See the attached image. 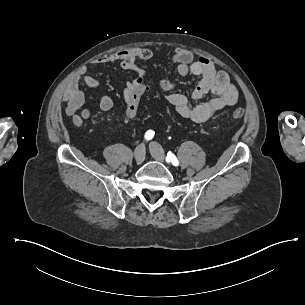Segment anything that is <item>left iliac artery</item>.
Instances as JSON below:
<instances>
[{
    "label": "left iliac artery",
    "mask_w": 305,
    "mask_h": 305,
    "mask_svg": "<svg viewBox=\"0 0 305 305\" xmlns=\"http://www.w3.org/2000/svg\"><path fill=\"white\" fill-rule=\"evenodd\" d=\"M166 162H168V163L171 162L174 166H178V165H179L178 159H177L176 156H175L174 154H172L171 152H168V153H167Z\"/></svg>",
    "instance_id": "44dca946"
}]
</instances>
